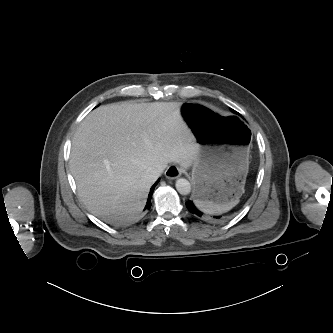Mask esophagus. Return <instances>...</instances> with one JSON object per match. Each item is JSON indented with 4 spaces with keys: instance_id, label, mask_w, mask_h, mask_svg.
Listing matches in <instances>:
<instances>
[{
    "instance_id": "esophagus-1",
    "label": "esophagus",
    "mask_w": 333,
    "mask_h": 333,
    "mask_svg": "<svg viewBox=\"0 0 333 333\" xmlns=\"http://www.w3.org/2000/svg\"><path fill=\"white\" fill-rule=\"evenodd\" d=\"M183 171L184 170L181 167H177V166L171 165L165 171V176L168 179H175V178L179 177L183 173Z\"/></svg>"
}]
</instances>
